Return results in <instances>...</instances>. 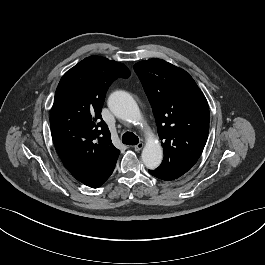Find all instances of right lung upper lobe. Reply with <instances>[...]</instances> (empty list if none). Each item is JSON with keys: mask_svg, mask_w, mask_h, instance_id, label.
Wrapping results in <instances>:
<instances>
[{"mask_svg": "<svg viewBox=\"0 0 265 265\" xmlns=\"http://www.w3.org/2000/svg\"><path fill=\"white\" fill-rule=\"evenodd\" d=\"M129 76L124 64L90 56L61 78L51 109V135L60 159L75 178L93 174L119 155L101 110L109 85Z\"/></svg>", "mask_w": 265, "mask_h": 265, "instance_id": "obj_1", "label": "right lung upper lobe"}]
</instances>
